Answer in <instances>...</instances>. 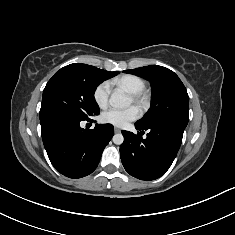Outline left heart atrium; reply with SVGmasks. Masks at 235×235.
Wrapping results in <instances>:
<instances>
[{
  "mask_svg": "<svg viewBox=\"0 0 235 235\" xmlns=\"http://www.w3.org/2000/svg\"><path fill=\"white\" fill-rule=\"evenodd\" d=\"M140 115L135 106L127 108L112 107L102 113V121L117 127H124L130 122L136 120Z\"/></svg>",
  "mask_w": 235,
  "mask_h": 235,
  "instance_id": "left-heart-atrium-1",
  "label": "left heart atrium"
}]
</instances>
